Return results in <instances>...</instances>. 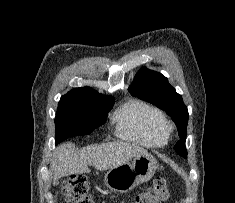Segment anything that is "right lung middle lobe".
Segmentation results:
<instances>
[{
    "instance_id": "1",
    "label": "right lung middle lobe",
    "mask_w": 235,
    "mask_h": 203,
    "mask_svg": "<svg viewBox=\"0 0 235 203\" xmlns=\"http://www.w3.org/2000/svg\"><path fill=\"white\" fill-rule=\"evenodd\" d=\"M115 100L95 93L69 92L61 97L55 117V143L87 135L105 123Z\"/></svg>"
}]
</instances>
